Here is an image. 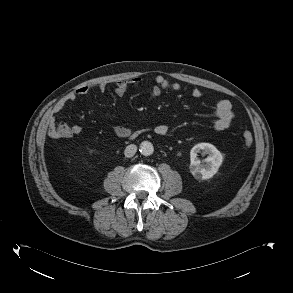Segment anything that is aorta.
Wrapping results in <instances>:
<instances>
[{
	"label": "aorta",
	"instance_id": "aorta-1",
	"mask_svg": "<svg viewBox=\"0 0 293 293\" xmlns=\"http://www.w3.org/2000/svg\"><path fill=\"white\" fill-rule=\"evenodd\" d=\"M154 151V148H153V145L151 142L149 141H143L141 144H140V152L142 155L144 156H149L153 153Z\"/></svg>",
	"mask_w": 293,
	"mask_h": 293
}]
</instances>
